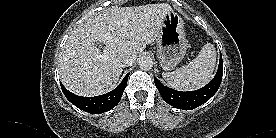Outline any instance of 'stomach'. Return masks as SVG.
I'll return each mask as SVG.
<instances>
[{"label":"stomach","mask_w":276,"mask_h":138,"mask_svg":"<svg viewBox=\"0 0 276 138\" xmlns=\"http://www.w3.org/2000/svg\"><path fill=\"white\" fill-rule=\"evenodd\" d=\"M186 50L184 20L171 8L165 13L163 26L157 39V57L162 69H174L184 58Z\"/></svg>","instance_id":"1"}]
</instances>
